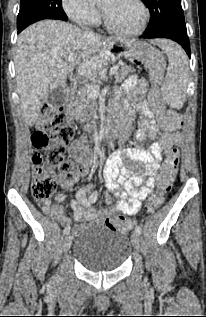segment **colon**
I'll return each mask as SVG.
<instances>
[{"label":"colon","instance_id":"1","mask_svg":"<svg viewBox=\"0 0 206 317\" xmlns=\"http://www.w3.org/2000/svg\"><path fill=\"white\" fill-rule=\"evenodd\" d=\"M150 72V80L159 86L165 68V59L161 53H154L146 62ZM161 125L169 131H176L182 126V117L175 110H165ZM74 136L73 127L67 123L63 108L44 105L36 131L32 134V145L35 152L33 161V181L31 192L37 201L48 200L55 193L58 181L51 173L56 171L60 179L74 180L86 172L88 156L86 149L80 148L75 156L66 157V148ZM179 165V153L173 152L166 159L158 175L157 192L151 196L147 204V212L153 213L163 203L164 196L170 191ZM107 226L118 232H127L133 223L125 217L117 216L106 221Z\"/></svg>","mask_w":206,"mask_h":317}]
</instances>
